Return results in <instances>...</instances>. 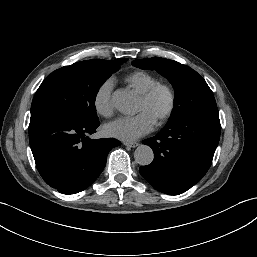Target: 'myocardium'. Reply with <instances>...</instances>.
Instances as JSON below:
<instances>
[{
    "mask_svg": "<svg viewBox=\"0 0 257 257\" xmlns=\"http://www.w3.org/2000/svg\"><path fill=\"white\" fill-rule=\"evenodd\" d=\"M159 93H164L168 99L167 108L157 121L158 125H163L172 117L176 109V95L173 88L168 84L158 82L147 91L142 93L140 95V99L143 102L148 103L152 101Z\"/></svg>",
    "mask_w": 257,
    "mask_h": 257,
    "instance_id": "1",
    "label": "myocardium"
}]
</instances>
